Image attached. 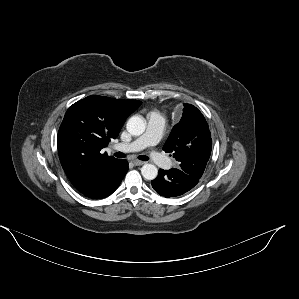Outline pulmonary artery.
Here are the masks:
<instances>
[{"instance_id":"1","label":"pulmonary artery","mask_w":299,"mask_h":299,"mask_svg":"<svg viewBox=\"0 0 299 299\" xmlns=\"http://www.w3.org/2000/svg\"><path fill=\"white\" fill-rule=\"evenodd\" d=\"M147 128L143 135L130 143H118L114 149L123 152H138L148 147H153L161 140L166 120L163 115L158 112L151 113L148 118ZM151 160L164 168H169L171 161L161 154L151 151L149 153Z\"/></svg>"}]
</instances>
